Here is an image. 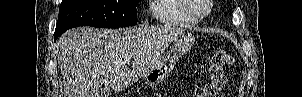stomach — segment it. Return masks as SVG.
I'll return each instance as SVG.
<instances>
[{"label":"stomach","mask_w":302,"mask_h":97,"mask_svg":"<svg viewBox=\"0 0 302 97\" xmlns=\"http://www.w3.org/2000/svg\"><path fill=\"white\" fill-rule=\"evenodd\" d=\"M195 38L191 33H180L173 39V44L145 75V83L156 86L172 71L176 62L194 44Z\"/></svg>","instance_id":"1"}]
</instances>
